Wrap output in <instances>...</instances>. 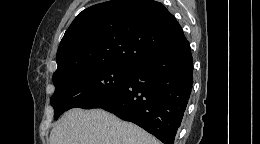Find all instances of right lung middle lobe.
Instances as JSON below:
<instances>
[{
    "label": "right lung middle lobe",
    "instance_id": "dd1d6c3e",
    "mask_svg": "<svg viewBox=\"0 0 260 144\" xmlns=\"http://www.w3.org/2000/svg\"><path fill=\"white\" fill-rule=\"evenodd\" d=\"M130 67L105 64L53 76L54 118L71 108L89 109L115 94L128 80Z\"/></svg>",
    "mask_w": 260,
    "mask_h": 144
}]
</instances>
